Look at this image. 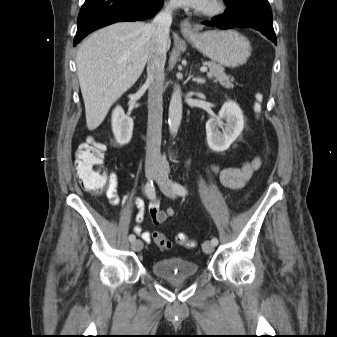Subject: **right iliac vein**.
<instances>
[{"label": "right iliac vein", "instance_id": "right-iliac-vein-1", "mask_svg": "<svg viewBox=\"0 0 337 337\" xmlns=\"http://www.w3.org/2000/svg\"><path fill=\"white\" fill-rule=\"evenodd\" d=\"M146 176L148 179H155L156 176L158 175L159 173V168L155 165H148L146 167ZM143 247V243L141 240H134L132 243H131V248L134 250V251H140Z\"/></svg>", "mask_w": 337, "mask_h": 337}]
</instances>
